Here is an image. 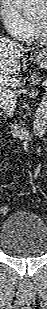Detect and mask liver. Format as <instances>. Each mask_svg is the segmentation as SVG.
Masks as SVG:
<instances>
[{"label":"liver","mask_w":47,"mask_h":309,"mask_svg":"<svg viewBox=\"0 0 47 309\" xmlns=\"http://www.w3.org/2000/svg\"><path fill=\"white\" fill-rule=\"evenodd\" d=\"M28 50L15 41L0 37V79L20 72L18 59Z\"/></svg>","instance_id":"6515ba94"}]
</instances>
